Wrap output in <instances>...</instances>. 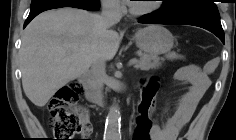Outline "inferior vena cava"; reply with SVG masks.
Wrapping results in <instances>:
<instances>
[{"mask_svg": "<svg viewBox=\"0 0 236 140\" xmlns=\"http://www.w3.org/2000/svg\"><path fill=\"white\" fill-rule=\"evenodd\" d=\"M121 17L120 4L117 0H104L102 2L101 21L106 28L118 23ZM105 67V60H97L93 63L91 68L94 88L98 100L102 97V90L106 79Z\"/></svg>", "mask_w": 236, "mask_h": 140, "instance_id": "obj_1", "label": "inferior vena cava"}]
</instances>
